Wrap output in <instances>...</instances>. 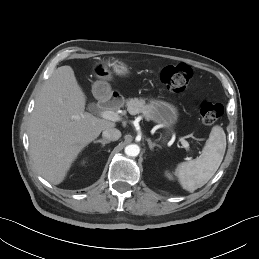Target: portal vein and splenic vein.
I'll list each match as a JSON object with an SVG mask.
<instances>
[{
	"mask_svg": "<svg viewBox=\"0 0 259 259\" xmlns=\"http://www.w3.org/2000/svg\"><path fill=\"white\" fill-rule=\"evenodd\" d=\"M100 115H101L102 118L110 120V121H119L120 120L119 116L115 112L110 111V110L102 111L100 113ZM180 141H181V144L183 145V147L187 151H190L189 143L184 139H180Z\"/></svg>",
	"mask_w": 259,
	"mask_h": 259,
	"instance_id": "18ae733b",
	"label": "portal vein and splenic vein"
}]
</instances>
